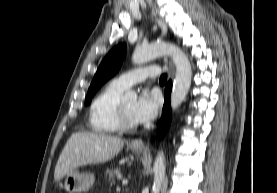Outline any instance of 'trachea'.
<instances>
[{"mask_svg":"<svg viewBox=\"0 0 277 193\" xmlns=\"http://www.w3.org/2000/svg\"><path fill=\"white\" fill-rule=\"evenodd\" d=\"M166 80H167V75H166V74H163V75L160 77L159 82H160V83H165Z\"/></svg>","mask_w":277,"mask_h":193,"instance_id":"trachea-1","label":"trachea"}]
</instances>
